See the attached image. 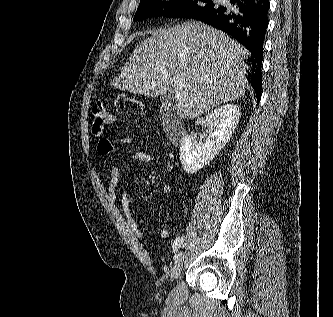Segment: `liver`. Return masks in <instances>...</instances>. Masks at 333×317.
<instances>
[{
    "instance_id": "1",
    "label": "liver",
    "mask_w": 333,
    "mask_h": 317,
    "mask_svg": "<svg viewBox=\"0 0 333 317\" xmlns=\"http://www.w3.org/2000/svg\"><path fill=\"white\" fill-rule=\"evenodd\" d=\"M247 50L222 31L187 21L152 32L133 51L113 87L145 96L180 86L185 96L174 109L199 117L215 106L244 96Z\"/></svg>"
}]
</instances>
